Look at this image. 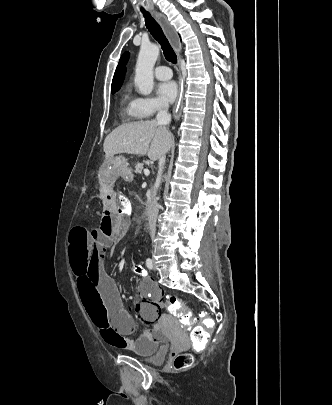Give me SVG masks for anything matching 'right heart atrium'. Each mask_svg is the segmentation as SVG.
Returning <instances> with one entry per match:
<instances>
[{
	"label": "right heart atrium",
	"instance_id": "1",
	"mask_svg": "<svg viewBox=\"0 0 332 405\" xmlns=\"http://www.w3.org/2000/svg\"><path fill=\"white\" fill-rule=\"evenodd\" d=\"M167 108V104L157 98H139L138 109L142 117H152Z\"/></svg>",
	"mask_w": 332,
	"mask_h": 405
}]
</instances>
